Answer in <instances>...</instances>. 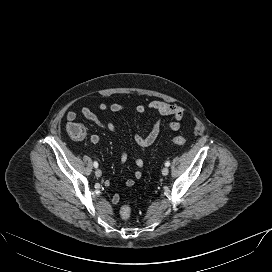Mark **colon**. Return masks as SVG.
<instances>
[{"instance_id":"colon-1","label":"colon","mask_w":272,"mask_h":272,"mask_svg":"<svg viewBox=\"0 0 272 272\" xmlns=\"http://www.w3.org/2000/svg\"><path fill=\"white\" fill-rule=\"evenodd\" d=\"M67 132L72 139L81 140L86 136V130L83 125L71 122L67 125ZM186 140L182 136H176L173 138V143L178 146H183ZM122 219L127 220L131 215V208L128 205H123L120 210Z\"/></svg>"}]
</instances>
